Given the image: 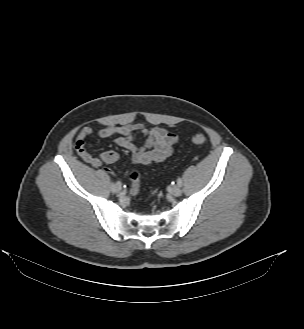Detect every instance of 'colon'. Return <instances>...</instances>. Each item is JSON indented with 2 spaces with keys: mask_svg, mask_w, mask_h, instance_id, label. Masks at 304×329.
Segmentation results:
<instances>
[{
  "mask_svg": "<svg viewBox=\"0 0 304 329\" xmlns=\"http://www.w3.org/2000/svg\"><path fill=\"white\" fill-rule=\"evenodd\" d=\"M206 141H207V138H206L205 134L202 132L196 133L191 138L192 144L197 145V146L204 145L206 143ZM130 178H131L130 193L132 195H135L138 192V184L141 179V172L138 170H133L130 174Z\"/></svg>",
  "mask_w": 304,
  "mask_h": 329,
  "instance_id": "obj_1",
  "label": "colon"
}]
</instances>
